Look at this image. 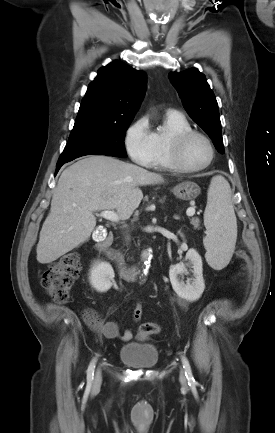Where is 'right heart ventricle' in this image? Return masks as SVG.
Wrapping results in <instances>:
<instances>
[{
	"label": "right heart ventricle",
	"instance_id": "obj_1",
	"mask_svg": "<svg viewBox=\"0 0 275 433\" xmlns=\"http://www.w3.org/2000/svg\"><path fill=\"white\" fill-rule=\"evenodd\" d=\"M191 129V124L182 114L168 111L162 125L152 131L153 156L149 166L159 170H176L170 162L169 143L176 135Z\"/></svg>",
	"mask_w": 275,
	"mask_h": 433
}]
</instances>
